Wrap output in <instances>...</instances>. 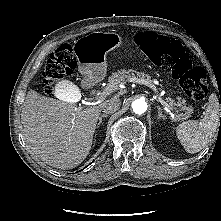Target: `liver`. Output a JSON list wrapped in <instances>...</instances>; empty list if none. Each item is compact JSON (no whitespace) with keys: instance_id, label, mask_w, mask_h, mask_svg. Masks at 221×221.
Masks as SVG:
<instances>
[{"instance_id":"liver-1","label":"liver","mask_w":221,"mask_h":221,"mask_svg":"<svg viewBox=\"0 0 221 221\" xmlns=\"http://www.w3.org/2000/svg\"><path fill=\"white\" fill-rule=\"evenodd\" d=\"M68 83V90L78 91L75 85ZM111 98L119 99V95ZM102 107L103 103L77 106L74 102L55 100L30 90L21 111L24 139L45 163L72 169L89 154Z\"/></svg>"}]
</instances>
